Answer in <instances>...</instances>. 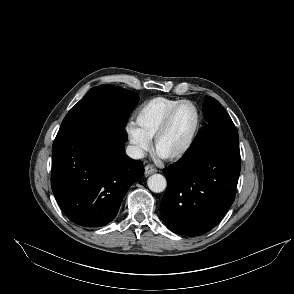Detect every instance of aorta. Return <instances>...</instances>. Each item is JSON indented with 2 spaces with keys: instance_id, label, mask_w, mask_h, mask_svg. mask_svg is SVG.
I'll return each mask as SVG.
<instances>
[{
  "instance_id": "1",
  "label": "aorta",
  "mask_w": 294,
  "mask_h": 294,
  "mask_svg": "<svg viewBox=\"0 0 294 294\" xmlns=\"http://www.w3.org/2000/svg\"><path fill=\"white\" fill-rule=\"evenodd\" d=\"M149 189L155 193H160L166 189V178L161 174H153L147 180Z\"/></svg>"
}]
</instances>
